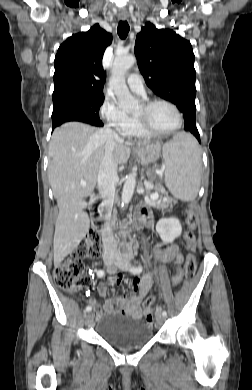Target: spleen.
<instances>
[{
	"instance_id": "1",
	"label": "spleen",
	"mask_w": 252,
	"mask_h": 390,
	"mask_svg": "<svg viewBox=\"0 0 252 390\" xmlns=\"http://www.w3.org/2000/svg\"><path fill=\"white\" fill-rule=\"evenodd\" d=\"M165 184L172 195L182 201H193L201 182V155L197 142L179 133L163 148Z\"/></svg>"
}]
</instances>
